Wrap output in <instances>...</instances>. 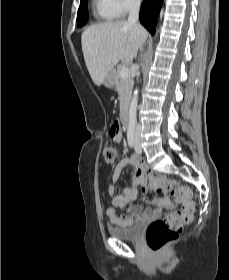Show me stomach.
<instances>
[{
	"label": "stomach",
	"mask_w": 229,
	"mask_h": 280,
	"mask_svg": "<svg viewBox=\"0 0 229 280\" xmlns=\"http://www.w3.org/2000/svg\"><path fill=\"white\" fill-rule=\"evenodd\" d=\"M103 85L106 88H113L115 85V71L112 69L110 72H108L103 80Z\"/></svg>",
	"instance_id": "1"
}]
</instances>
